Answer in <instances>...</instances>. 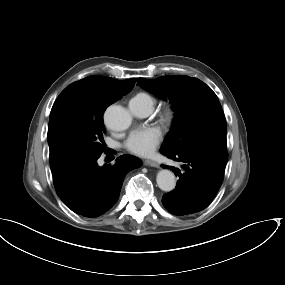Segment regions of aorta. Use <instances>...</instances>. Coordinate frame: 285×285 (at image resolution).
<instances>
[{
	"label": "aorta",
	"mask_w": 285,
	"mask_h": 285,
	"mask_svg": "<svg viewBox=\"0 0 285 285\" xmlns=\"http://www.w3.org/2000/svg\"><path fill=\"white\" fill-rule=\"evenodd\" d=\"M104 120L108 128L114 131H124L129 128L132 123V116L124 107L120 105H112L107 108ZM158 187L165 192L175 189L176 180L172 171L160 170L156 177Z\"/></svg>",
	"instance_id": "762f6f07"
}]
</instances>
